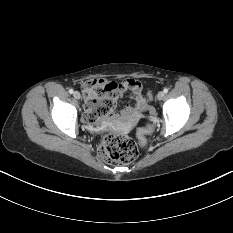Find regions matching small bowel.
<instances>
[{
  "mask_svg": "<svg viewBox=\"0 0 233 233\" xmlns=\"http://www.w3.org/2000/svg\"><path fill=\"white\" fill-rule=\"evenodd\" d=\"M126 92H131L133 104L127 105L121 113L127 117H135L140 112L144 111L147 105V99L142 94V85L135 79H127L119 84H116L115 97L121 98ZM99 104L97 100H87L85 104V119L90 123H97L100 118L89 120V117L93 115V109ZM115 113L112 111L108 115L104 116V120L111 119Z\"/></svg>",
  "mask_w": 233,
  "mask_h": 233,
  "instance_id": "small-bowel-1",
  "label": "small bowel"
}]
</instances>
